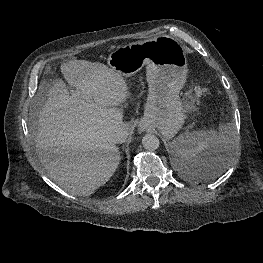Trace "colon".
Here are the masks:
<instances>
[{
	"label": "colon",
	"mask_w": 263,
	"mask_h": 263,
	"mask_svg": "<svg viewBox=\"0 0 263 263\" xmlns=\"http://www.w3.org/2000/svg\"><path fill=\"white\" fill-rule=\"evenodd\" d=\"M208 95H209V91L204 87H197L194 90V96L196 98L201 99L207 97Z\"/></svg>",
	"instance_id": "1"
}]
</instances>
